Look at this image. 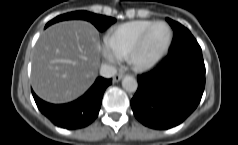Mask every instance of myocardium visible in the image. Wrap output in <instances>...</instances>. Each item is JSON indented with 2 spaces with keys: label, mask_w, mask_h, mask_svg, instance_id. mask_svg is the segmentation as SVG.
<instances>
[{
  "label": "myocardium",
  "mask_w": 238,
  "mask_h": 145,
  "mask_svg": "<svg viewBox=\"0 0 238 145\" xmlns=\"http://www.w3.org/2000/svg\"><path fill=\"white\" fill-rule=\"evenodd\" d=\"M162 25L165 26L168 30V37L165 42V44L162 46V48L151 58L147 60H140L139 55L141 54L142 50L144 49V46L146 44V41L153 30L154 27ZM172 41V29L171 27L163 21H156L153 22L139 37L137 42L134 44V46L129 50L128 54L126 55V61L130 67H132L134 70L137 71H146L151 68H153L156 64L159 63V61L163 58V56L166 54L167 50L169 49V46Z\"/></svg>",
  "instance_id": "myocardium-1"
}]
</instances>
